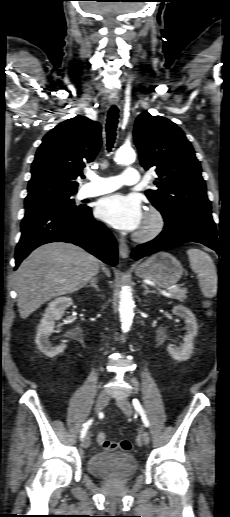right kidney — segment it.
Wrapping results in <instances>:
<instances>
[{
    "label": "right kidney",
    "mask_w": 230,
    "mask_h": 517,
    "mask_svg": "<svg viewBox=\"0 0 230 517\" xmlns=\"http://www.w3.org/2000/svg\"><path fill=\"white\" fill-rule=\"evenodd\" d=\"M73 304L69 297H59L49 303L37 328L35 342L38 349L47 357L53 358L62 353L66 348L65 344L53 346L49 341V336L55 328V321L59 320L65 310Z\"/></svg>",
    "instance_id": "right-kidney-1"
}]
</instances>
